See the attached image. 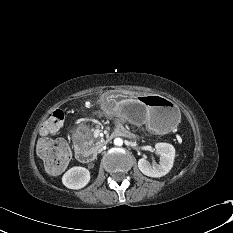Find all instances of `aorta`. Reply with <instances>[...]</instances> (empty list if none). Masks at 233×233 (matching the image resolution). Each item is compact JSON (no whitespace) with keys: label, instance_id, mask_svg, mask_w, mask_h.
Returning a JSON list of instances; mask_svg holds the SVG:
<instances>
[{"label":"aorta","instance_id":"1","mask_svg":"<svg viewBox=\"0 0 233 233\" xmlns=\"http://www.w3.org/2000/svg\"><path fill=\"white\" fill-rule=\"evenodd\" d=\"M114 145H116V146H122L123 145V140H122V138H115L114 139Z\"/></svg>","mask_w":233,"mask_h":233}]
</instances>
